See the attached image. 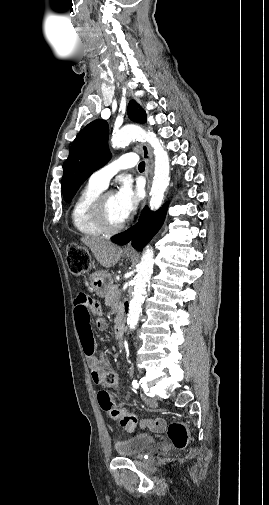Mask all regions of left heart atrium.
<instances>
[{
	"mask_svg": "<svg viewBox=\"0 0 269 505\" xmlns=\"http://www.w3.org/2000/svg\"><path fill=\"white\" fill-rule=\"evenodd\" d=\"M117 210L123 220H126L136 209L139 193L129 180H123L114 194Z\"/></svg>",
	"mask_w": 269,
	"mask_h": 505,
	"instance_id": "obj_1",
	"label": "left heart atrium"
}]
</instances>
